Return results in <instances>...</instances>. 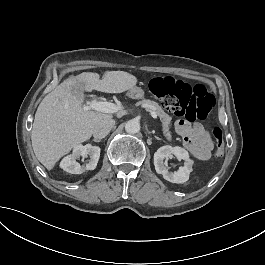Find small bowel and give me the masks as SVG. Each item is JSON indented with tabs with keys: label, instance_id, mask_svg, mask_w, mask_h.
<instances>
[{
	"label": "small bowel",
	"instance_id": "1",
	"mask_svg": "<svg viewBox=\"0 0 265 265\" xmlns=\"http://www.w3.org/2000/svg\"><path fill=\"white\" fill-rule=\"evenodd\" d=\"M175 129L182 137L185 147L196 159L207 161L211 157L212 138L203 125L199 123L191 125L180 119L176 121Z\"/></svg>",
	"mask_w": 265,
	"mask_h": 265
}]
</instances>
